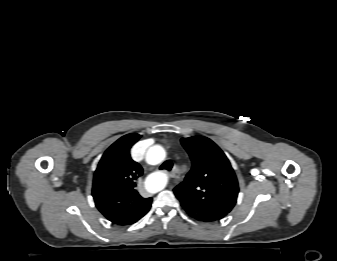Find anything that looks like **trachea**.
I'll list each match as a JSON object with an SVG mask.
<instances>
[{
	"label": "trachea",
	"mask_w": 337,
	"mask_h": 261,
	"mask_svg": "<svg viewBox=\"0 0 337 261\" xmlns=\"http://www.w3.org/2000/svg\"><path fill=\"white\" fill-rule=\"evenodd\" d=\"M172 166H173V164H172L171 161H166L161 165L160 169H166V170L170 171L172 169Z\"/></svg>",
	"instance_id": "3493384b"
}]
</instances>
